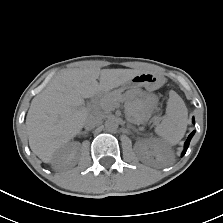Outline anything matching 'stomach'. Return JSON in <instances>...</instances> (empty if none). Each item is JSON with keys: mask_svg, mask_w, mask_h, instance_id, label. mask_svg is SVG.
I'll use <instances>...</instances> for the list:
<instances>
[{"mask_svg": "<svg viewBox=\"0 0 223 223\" xmlns=\"http://www.w3.org/2000/svg\"><path fill=\"white\" fill-rule=\"evenodd\" d=\"M164 84V79L162 76L157 75L153 72H142L133 77V79L121 86V91L125 89L136 90L140 87H144L148 92L159 89ZM154 103H157V98L152 97Z\"/></svg>", "mask_w": 223, "mask_h": 223, "instance_id": "obj_1", "label": "stomach"}]
</instances>
